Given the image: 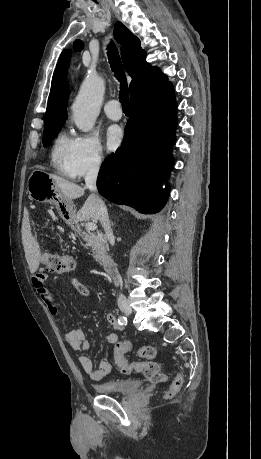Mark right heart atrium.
Instances as JSON below:
<instances>
[{
    "instance_id": "right-heart-atrium-1",
    "label": "right heart atrium",
    "mask_w": 261,
    "mask_h": 459,
    "mask_svg": "<svg viewBox=\"0 0 261 459\" xmlns=\"http://www.w3.org/2000/svg\"><path fill=\"white\" fill-rule=\"evenodd\" d=\"M104 161L100 141L93 135H79L74 139L71 171L74 177H82L97 171Z\"/></svg>"
}]
</instances>
